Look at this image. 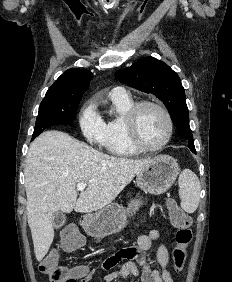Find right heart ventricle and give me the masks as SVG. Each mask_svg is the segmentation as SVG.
<instances>
[{"instance_id": "right-heart-ventricle-1", "label": "right heart ventricle", "mask_w": 232, "mask_h": 282, "mask_svg": "<svg viewBox=\"0 0 232 282\" xmlns=\"http://www.w3.org/2000/svg\"><path fill=\"white\" fill-rule=\"evenodd\" d=\"M110 100L112 110L116 112V115L104 122L105 133L102 146L115 156L136 155L140 151L130 143L125 127V115L134 102L129 96L118 97L112 94Z\"/></svg>"}]
</instances>
